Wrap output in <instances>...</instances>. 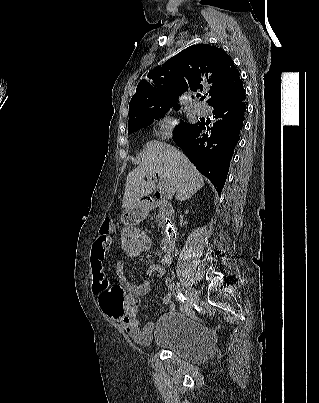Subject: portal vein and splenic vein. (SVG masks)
<instances>
[{"label":"portal vein and splenic vein","mask_w":319,"mask_h":403,"mask_svg":"<svg viewBox=\"0 0 319 403\" xmlns=\"http://www.w3.org/2000/svg\"><path fill=\"white\" fill-rule=\"evenodd\" d=\"M147 178H150V177L147 176ZM158 188H159L160 192H162V193L167 192V187H166L165 183L162 180L159 181ZM169 196H171V195H169Z\"/></svg>","instance_id":"obj_1"}]
</instances>
